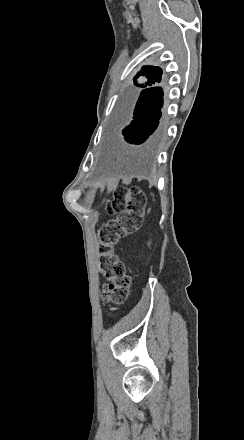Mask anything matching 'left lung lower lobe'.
Listing matches in <instances>:
<instances>
[{"label": "left lung lower lobe", "mask_w": 244, "mask_h": 440, "mask_svg": "<svg viewBox=\"0 0 244 440\" xmlns=\"http://www.w3.org/2000/svg\"><path fill=\"white\" fill-rule=\"evenodd\" d=\"M154 85V84H152ZM147 85L135 97L129 99L122 110L121 120L127 126L122 130L126 142L141 144L156 130L161 117L163 91L160 87Z\"/></svg>", "instance_id": "obj_1"}]
</instances>
